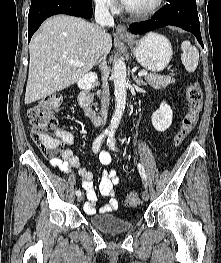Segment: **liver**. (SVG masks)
<instances>
[{
	"label": "liver",
	"mask_w": 221,
	"mask_h": 263,
	"mask_svg": "<svg viewBox=\"0 0 221 263\" xmlns=\"http://www.w3.org/2000/svg\"><path fill=\"white\" fill-rule=\"evenodd\" d=\"M112 37L98 24L57 15L44 22L30 45L25 104L61 91L86 75L101 57L109 54ZM69 60L84 63L71 65Z\"/></svg>",
	"instance_id": "obj_1"
}]
</instances>
